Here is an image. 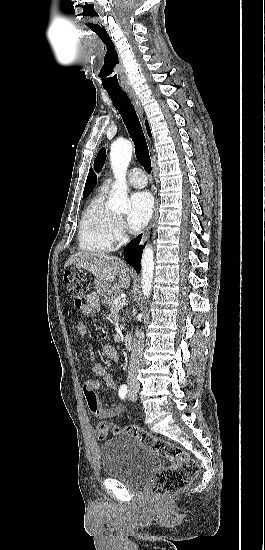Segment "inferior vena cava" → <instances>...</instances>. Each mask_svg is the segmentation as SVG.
<instances>
[{
	"label": "inferior vena cava",
	"instance_id": "602c4592",
	"mask_svg": "<svg viewBox=\"0 0 265 550\" xmlns=\"http://www.w3.org/2000/svg\"><path fill=\"white\" fill-rule=\"evenodd\" d=\"M143 346H144V333L136 329L135 337L133 339V347L131 351L129 370H128V383L137 384V376L143 363Z\"/></svg>",
	"mask_w": 265,
	"mask_h": 550
}]
</instances>
